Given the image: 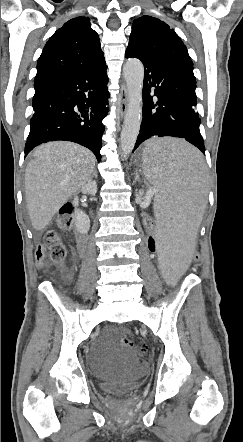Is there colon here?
Segmentation results:
<instances>
[{
  "mask_svg": "<svg viewBox=\"0 0 243 442\" xmlns=\"http://www.w3.org/2000/svg\"><path fill=\"white\" fill-rule=\"evenodd\" d=\"M72 212H73V205L70 203H67L63 205L60 209V214L57 220V226L59 228H69L72 223ZM157 218L156 216H147L146 221H144V224H147L145 226L144 231V239H145V248L144 251L146 253L152 254L157 251L158 243L156 242V236L160 234V231L153 226L150 225H156ZM66 256V248L62 241L61 234L54 230L49 229L46 234L45 238L42 244L38 245L36 250V261L38 264L43 265L46 262V259L49 257L55 261H61ZM190 261L193 263L201 262L202 256L199 255L198 251L192 250L189 253ZM122 345L126 347H133V343L131 339L126 336L122 335L121 338ZM138 353L143 356L146 353V347L141 346L137 349Z\"/></svg>",
  "mask_w": 243,
  "mask_h": 442,
  "instance_id": "obj_1",
  "label": "colon"
}]
</instances>
